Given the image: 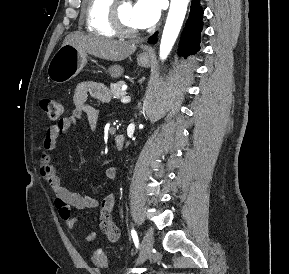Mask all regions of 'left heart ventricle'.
Returning <instances> with one entry per match:
<instances>
[{
  "label": "left heart ventricle",
  "mask_w": 289,
  "mask_h": 274,
  "mask_svg": "<svg viewBox=\"0 0 289 274\" xmlns=\"http://www.w3.org/2000/svg\"><path fill=\"white\" fill-rule=\"evenodd\" d=\"M132 4L128 2H121L119 6V12L124 24L132 29H137L138 27L134 24L132 20Z\"/></svg>",
  "instance_id": "b2bd125f"
}]
</instances>
